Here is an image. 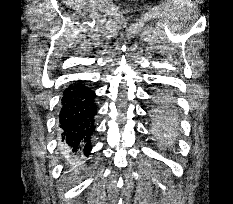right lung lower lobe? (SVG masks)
Listing matches in <instances>:
<instances>
[{"label": "right lung lower lobe", "instance_id": "98d812e1", "mask_svg": "<svg viewBox=\"0 0 233 204\" xmlns=\"http://www.w3.org/2000/svg\"><path fill=\"white\" fill-rule=\"evenodd\" d=\"M94 98L95 93L81 81L64 90L59 122L62 141L73 153L83 152L85 156L90 153V138L95 130L94 117L97 113Z\"/></svg>", "mask_w": 233, "mask_h": 204}]
</instances>
